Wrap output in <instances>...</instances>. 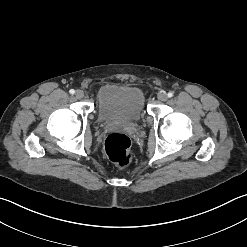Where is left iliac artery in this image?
<instances>
[{"instance_id": "left-iliac-artery-1", "label": "left iliac artery", "mask_w": 247, "mask_h": 247, "mask_svg": "<svg viewBox=\"0 0 247 247\" xmlns=\"http://www.w3.org/2000/svg\"><path fill=\"white\" fill-rule=\"evenodd\" d=\"M167 95H168V97H172L173 96V93L172 92H169Z\"/></svg>"}]
</instances>
